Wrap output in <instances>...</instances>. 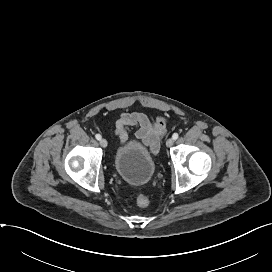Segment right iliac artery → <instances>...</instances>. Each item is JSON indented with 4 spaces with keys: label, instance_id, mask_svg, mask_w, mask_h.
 <instances>
[{
    "label": "right iliac artery",
    "instance_id": "right-iliac-artery-1",
    "mask_svg": "<svg viewBox=\"0 0 272 272\" xmlns=\"http://www.w3.org/2000/svg\"><path fill=\"white\" fill-rule=\"evenodd\" d=\"M95 138H96L97 140H100V139H101V135H100V134H96V135H95Z\"/></svg>",
    "mask_w": 272,
    "mask_h": 272
}]
</instances>
